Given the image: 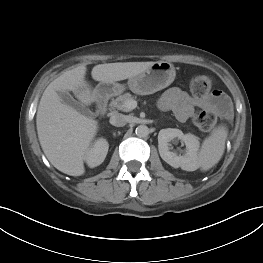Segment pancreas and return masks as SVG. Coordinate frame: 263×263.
<instances>
[{
	"label": "pancreas",
	"mask_w": 263,
	"mask_h": 263,
	"mask_svg": "<svg viewBox=\"0 0 263 263\" xmlns=\"http://www.w3.org/2000/svg\"><path fill=\"white\" fill-rule=\"evenodd\" d=\"M136 96L131 95L130 93H124L123 95L118 96L116 99H113L110 103L112 108L122 110V111H129L127 108L124 107L125 102L128 100H135Z\"/></svg>",
	"instance_id": "cf45deb5"
}]
</instances>
